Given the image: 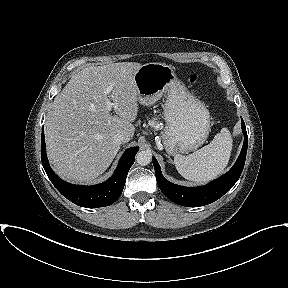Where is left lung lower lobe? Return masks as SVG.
Segmentation results:
<instances>
[{
    "instance_id": "obj_1",
    "label": "left lung lower lobe",
    "mask_w": 288,
    "mask_h": 288,
    "mask_svg": "<svg viewBox=\"0 0 288 288\" xmlns=\"http://www.w3.org/2000/svg\"><path fill=\"white\" fill-rule=\"evenodd\" d=\"M241 122L244 134V143L236 163L225 175L205 186L184 187L167 181L161 173L160 165L155 157H153L152 161L155 169L156 180L164 195L178 205L199 207L210 204L227 193L238 181L246 160L248 137L243 119Z\"/></svg>"
}]
</instances>
